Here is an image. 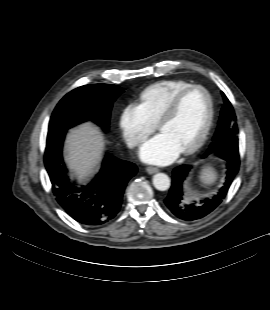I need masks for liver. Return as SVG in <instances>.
Here are the masks:
<instances>
[{
  "instance_id": "obj_1",
  "label": "liver",
  "mask_w": 270,
  "mask_h": 310,
  "mask_svg": "<svg viewBox=\"0 0 270 310\" xmlns=\"http://www.w3.org/2000/svg\"><path fill=\"white\" fill-rule=\"evenodd\" d=\"M104 143L102 132L89 122L71 129L67 134L65 160L72 175L79 181L87 180L97 170Z\"/></svg>"
}]
</instances>
